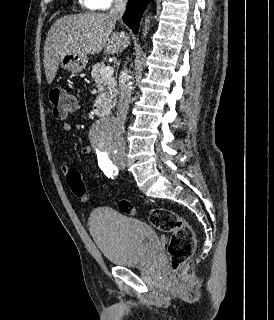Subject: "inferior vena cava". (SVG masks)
<instances>
[{
	"instance_id": "602c4592",
	"label": "inferior vena cava",
	"mask_w": 274,
	"mask_h": 320,
	"mask_svg": "<svg viewBox=\"0 0 274 320\" xmlns=\"http://www.w3.org/2000/svg\"><path fill=\"white\" fill-rule=\"evenodd\" d=\"M127 0H114L113 6L109 12V16L111 18H115V20H122V16L125 12ZM120 38H123L125 42H128L129 38L126 36L125 32H120ZM119 100H118V120H121L122 124H125V120L127 118L129 104H130V96H131V86H130V76L128 70H122L119 76Z\"/></svg>"
}]
</instances>
